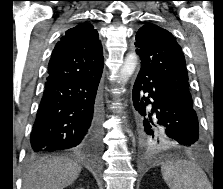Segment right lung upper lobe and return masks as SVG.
<instances>
[{
    "mask_svg": "<svg viewBox=\"0 0 223 189\" xmlns=\"http://www.w3.org/2000/svg\"><path fill=\"white\" fill-rule=\"evenodd\" d=\"M103 51L98 32L81 23L66 31L48 65L47 81L79 79L102 72Z\"/></svg>",
    "mask_w": 223,
    "mask_h": 189,
    "instance_id": "cb5924a9",
    "label": "right lung upper lobe"
}]
</instances>
